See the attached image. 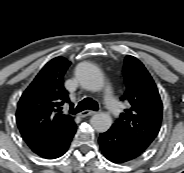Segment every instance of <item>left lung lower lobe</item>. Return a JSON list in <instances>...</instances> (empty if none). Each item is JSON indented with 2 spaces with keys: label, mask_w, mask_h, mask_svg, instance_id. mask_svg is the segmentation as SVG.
Returning a JSON list of instances; mask_svg holds the SVG:
<instances>
[{
  "label": "left lung lower lobe",
  "mask_w": 184,
  "mask_h": 173,
  "mask_svg": "<svg viewBox=\"0 0 184 173\" xmlns=\"http://www.w3.org/2000/svg\"><path fill=\"white\" fill-rule=\"evenodd\" d=\"M98 141L103 155L113 163H126L143 153L125 134L114 127L101 133Z\"/></svg>",
  "instance_id": "0a47b994"
}]
</instances>
